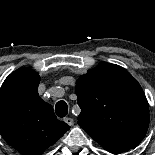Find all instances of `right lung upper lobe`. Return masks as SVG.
Masks as SVG:
<instances>
[{
  "label": "right lung upper lobe",
  "instance_id": "cb5924a9",
  "mask_svg": "<svg viewBox=\"0 0 155 155\" xmlns=\"http://www.w3.org/2000/svg\"><path fill=\"white\" fill-rule=\"evenodd\" d=\"M39 81L38 73L22 67L0 89V133L23 155H41L70 128L39 97Z\"/></svg>",
  "mask_w": 155,
  "mask_h": 155
}]
</instances>
